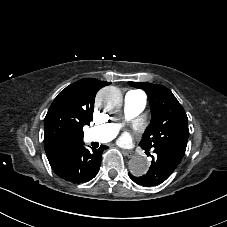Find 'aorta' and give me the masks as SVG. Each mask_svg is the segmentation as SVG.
I'll return each instance as SVG.
<instances>
[{
	"label": "aorta",
	"instance_id": "762f6f07",
	"mask_svg": "<svg viewBox=\"0 0 227 227\" xmlns=\"http://www.w3.org/2000/svg\"><path fill=\"white\" fill-rule=\"evenodd\" d=\"M96 103L106 111H115L122 104V94L116 87H105L98 92ZM148 168L147 160L141 156H135L129 160L130 172L135 176L145 175Z\"/></svg>",
	"mask_w": 227,
	"mask_h": 227
}]
</instances>
